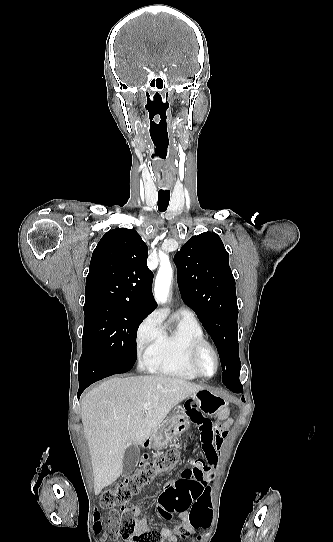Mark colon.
Listing matches in <instances>:
<instances>
[{
	"label": "colon",
	"instance_id": "colon-1",
	"mask_svg": "<svg viewBox=\"0 0 333 542\" xmlns=\"http://www.w3.org/2000/svg\"><path fill=\"white\" fill-rule=\"evenodd\" d=\"M150 452H144L142 459ZM180 454L176 451H169L163 457L155 461H149L144 464L141 461L140 468L125 477V479L116 487L103 493L100 500V506L107 510V516L99 517L100 525L110 524L112 528H117L120 524L122 536L132 542H163L159 539L158 531H146L145 534L138 533L136 537L131 538L135 525L131 522L137 506L135 502H128L138 492V490L147 485L157 474L171 471L179 462ZM204 466V467H203ZM216 461L214 458H191L189 465L185 467L182 477L183 480L170 484V489H162L159 495V505L157 507L158 516L164 521L172 520L173 516H178L183 510L187 511L185 516L186 524H214L216 517L206 505H197L202 500V494H207L211 487L207 483H194L190 481L193 477L197 481L205 479V469H214ZM205 468V469H204ZM208 501V499H207ZM123 505L122 507H118ZM117 533L113 529H100L98 537L100 540H113Z\"/></svg>",
	"mask_w": 333,
	"mask_h": 542
}]
</instances>
